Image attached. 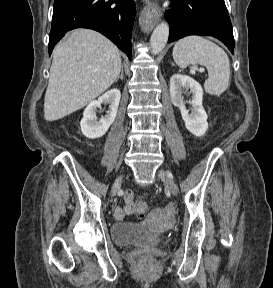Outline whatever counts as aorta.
<instances>
[{
	"label": "aorta",
	"instance_id": "1",
	"mask_svg": "<svg viewBox=\"0 0 273 288\" xmlns=\"http://www.w3.org/2000/svg\"><path fill=\"white\" fill-rule=\"evenodd\" d=\"M169 36V25L166 22H161L154 29L150 38L151 53L156 55L160 53L167 41Z\"/></svg>",
	"mask_w": 273,
	"mask_h": 288
}]
</instances>
